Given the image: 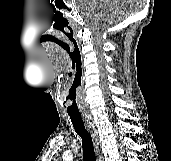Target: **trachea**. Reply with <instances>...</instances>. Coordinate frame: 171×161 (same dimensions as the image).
I'll return each instance as SVG.
<instances>
[{
    "label": "trachea",
    "instance_id": "1",
    "mask_svg": "<svg viewBox=\"0 0 171 161\" xmlns=\"http://www.w3.org/2000/svg\"><path fill=\"white\" fill-rule=\"evenodd\" d=\"M75 132L82 139L83 158L84 161H96L92 137L85 129L83 120L79 112H68Z\"/></svg>",
    "mask_w": 171,
    "mask_h": 161
}]
</instances>
